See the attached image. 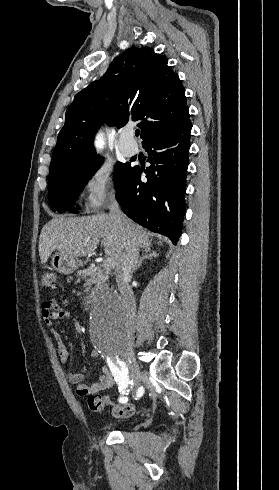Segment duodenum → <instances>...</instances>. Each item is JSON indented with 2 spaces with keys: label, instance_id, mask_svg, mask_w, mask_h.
I'll return each instance as SVG.
<instances>
[{
  "label": "duodenum",
  "instance_id": "410a0bca",
  "mask_svg": "<svg viewBox=\"0 0 279 490\" xmlns=\"http://www.w3.org/2000/svg\"><path fill=\"white\" fill-rule=\"evenodd\" d=\"M92 294H93V293H92V291H89V292L86 294V296L84 297V299H83V307H84L85 309H87V308H88V306H89V303H90V299H91V297H92Z\"/></svg>",
  "mask_w": 279,
  "mask_h": 490
}]
</instances>
